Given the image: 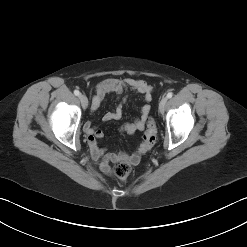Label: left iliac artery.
<instances>
[{
    "instance_id": "left-iliac-artery-1",
    "label": "left iliac artery",
    "mask_w": 247,
    "mask_h": 247,
    "mask_svg": "<svg viewBox=\"0 0 247 247\" xmlns=\"http://www.w3.org/2000/svg\"><path fill=\"white\" fill-rule=\"evenodd\" d=\"M172 96H173V94H172L171 92H169V93L167 94V98H168V99L172 98Z\"/></svg>"
}]
</instances>
